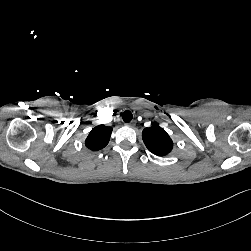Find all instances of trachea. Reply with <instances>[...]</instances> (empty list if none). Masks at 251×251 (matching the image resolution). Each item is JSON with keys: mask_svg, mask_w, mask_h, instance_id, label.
Masks as SVG:
<instances>
[{"mask_svg": "<svg viewBox=\"0 0 251 251\" xmlns=\"http://www.w3.org/2000/svg\"><path fill=\"white\" fill-rule=\"evenodd\" d=\"M123 121L126 122V123H129L132 118H133V115L132 113L129 111V110H126L124 113H123Z\"/></svg>", "mask_w": 251, "mask_h": 251, "instance_id": "obj_1", "label": "trachea"}]
</instances>
